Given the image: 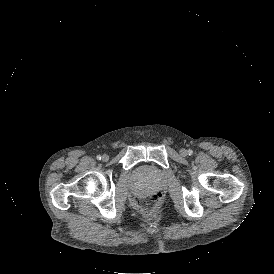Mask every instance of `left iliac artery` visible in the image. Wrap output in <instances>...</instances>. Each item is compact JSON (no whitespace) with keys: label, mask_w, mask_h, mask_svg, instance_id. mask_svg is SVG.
<instances>
[{"label":"left iliac artery","mask_w":274,"mask_h":274,"mask_svg":"<svg viewBox=\"0 0 274 274\" xmlns=\"http://www.w3.org/2000/svg\"><path fill=\"white\" fill-rule=\"evenodd\" d=\"M187 153H188L189 156H191V155L193 154V151H192L191 149H189V150L187 151Z\"/></svg>","instance_id":"1"}]
</instances>
